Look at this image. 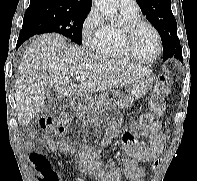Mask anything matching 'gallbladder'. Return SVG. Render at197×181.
I'll use <instances>...</instances> for the list:
<instances>
[{
  "instance_id": "bac80fb5",
  "label": "gallbladder",
  "mask_w": 197,
  "mask_h": 181,
  "mask_svg": "<svg viewBox=\"0 0 197 181\" xmlns=\"http://www.w3.org/2000/svg\"><path fill=\"white\" fill-rule=\"evenodd\" d=\"M54 95L55 97H59V95L56 94V90L53 87L46 88V91H45L46 107L49 109L53 105Z\"/></svg>"
}]
</instances>
